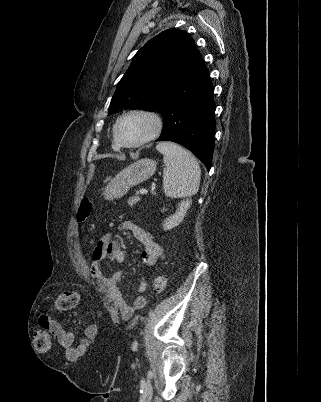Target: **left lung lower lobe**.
<instances>
[{"label":"left lung lower lobe","instance_id":"left-lung-lower-lobe-1","mask_svg":"<svg viewBox=\"0 0 321 402\" xmlns=\"http://www.w3.org/2000/svg\"><path fill=\"white\" fill-rule=\"evenodd\" d=\"M204 60L166 97L163 131L156 141H173L193 152L210 170L214 150L216 104Z\"/></svg>","mask_w":321,"mask_h":402}]
</instances>
